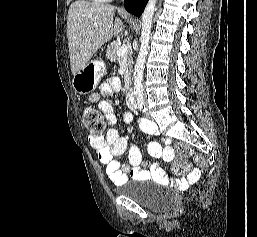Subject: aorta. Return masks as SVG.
Masks as SVG:
<instances>
[{
	"mask_svg": "<svg viewBox=\"0 0 257 237\" xmlns=\"http://www.w3.org/2000/svg\"><path fill=\"white\" fill-rule=\"evenodd\" d=\"M156 0H149L142 14V30L140 37V49L134 69V94L138 100L144 98L143 72L148 53L149 40L152 28V20L155 12Z\"/></svg>",
	"mask_w": 257,
	"mask_h": 237,
	"instance_id": "1",
	"label": "aorta"
}]
</instances>
